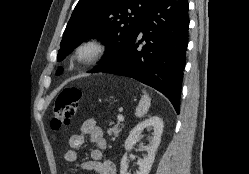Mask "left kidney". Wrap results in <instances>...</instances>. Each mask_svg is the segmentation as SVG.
I'll return each instance as SVG.
<instances>
[{"mask_svg": "<svg viewBox=\"0 0 249 174\" xmlns=\"http://www.w3.org/2000/svg\"><path fill=\"white\" fill-rule=\"evenodd\" d=\"M164 123L163 120L157 116L150 117L149 119L136 125L130 132L128 138L125 141V149L130 151L133 146L139 142L142 138V132L145 128H153V137L149 145H142L143 151L147 152V156L144 159H139L137 164L139 165L138 171L135 174H149L152 164L155 159L157 148L161 141V135L163 132ZM120 174H129L128 168V156L127 153L121 159Z\"/></svg>", "mask_w": 249, "mask_h": 174, "instance_id": "5707ae66", "label": "left kidney"}]
</instances>
